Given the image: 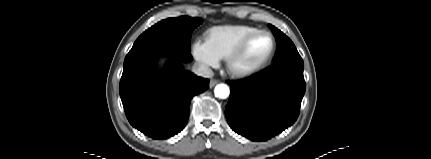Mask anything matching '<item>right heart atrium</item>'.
Wrapping results in <instances>:
<instances>
[{
	"label": "right heart atrium",
	"instance_id": "obj_1",
	"mask_svg": "<svg viewBox=\"0 0 431 159\" xmlns=\"http://www.w3.org/2000/svg\"><path fill=\"white\" fill-rule=\"evenodd\" d=\"M194 58L206 69L215 68L219 64V58L212 52L206 42L196 40L192 44Z\"/></svg>",
	"mask_w": 431,
	"mask_h": 159
}]
</instances>
